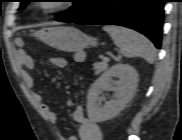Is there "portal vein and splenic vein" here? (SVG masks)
I'll list each match as a JSON object with an SVG mask.
<instances>
[{"label":"portal vein and splenic vein","mask_w":182,"mask_h":140,"mask_svg":"<svg viewBox=\"0 0 182 140\" xmlns=\"http://www.w3.org/2000/svg\"><path fill=\"white\" fill-rule=\"evenodd\" d=\"M102 59H103L104 62H108L109 61V58L108 57L102 56Z\"/></svg>","instance_id":"obj_1"}]
</instances>
